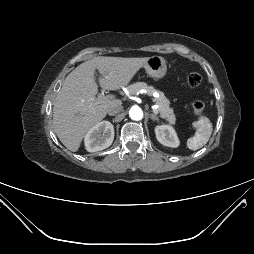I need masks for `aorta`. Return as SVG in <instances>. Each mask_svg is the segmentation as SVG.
Returning a JSON list of instances; mask_svg holds the SVG:
<instances>
[{"label":"aorta","mask_w":254,"mask_h":254,"mask_svg":"<svg viewBox=\"0 0 254 254\" xmlns=\"http://www.w3.org/2000/svg\"><path fill=\"white\" fill-rule=\"evenodd\" d=\"M129 116L133 120H141L143 118V112L138 106H133L129 111Z\"/></svg>","instance_id":"762f6f07"}]
</instances>
